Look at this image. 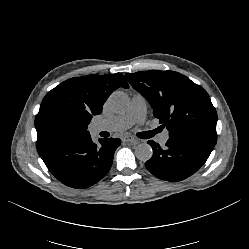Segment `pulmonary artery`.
<instances>
[{
    "label": "pulmonary artery",
    "instance_id": "1",
    "mask_svg": "<svg viewBox=\"0 0 249 249\" xmlns=\"http://www.w3.org/2000/svg\"><path fill=\"white\" fill-rule=\"evenodd\" d=\"M146 114V99L141 94H135L131 99L129 109L125 113L92 123L90 131L93 135L102 131H124L132 127L134 124H144ZM168 139L169 132L167 130L163 131L157 137V140L161 145H164Z\"/></svg>",
    "mask_w": 249,
    "mask_h": 249
}]
</instances>
